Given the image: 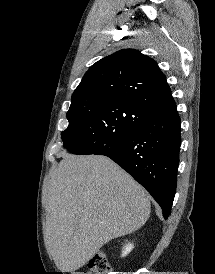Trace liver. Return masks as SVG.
Here are the masks:
<instances>
[{
	"mask_svg": "<svg viewBox=\"0 0 215 274\" xmlns=\"http://www.w3.org/2000/svg\"><path fill=\"white\" fill-rule=\"evenodd\" d=\"M149 215L145 189L111 159L65 153L51 177L48 252L59 270L73 272L110 240L141 228Z\"/></svg>",
	"mask_w": 215,
	"mask_h": 274,
	"instance_id": "1",
	"label": "liver"
}]
</instances>
